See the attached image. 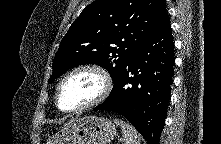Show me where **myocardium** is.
Wrapping results in <instances>:
<instances>
[{"mask_svg": "<svg viewBox=\"0 0 221 144\" xmlns=\"http://www.w3.org/2000/svg\"><path fill=\"white\" fill-rule=\"evenodd\" d=\"M84 71H89L97 74L99 78L101 79V90L99 94L90 102L83 104L79 107L72 108V109H64L60 106V93L63 85L65 82L71 78L73 75L79 73V72H84ZM112 89V79L110 74L107 72L106 69L103 67L97 65V64H84L81 66H78L71 70L69 73H67L62 80L59 82L57 89H56V94H55V103L57 108L65 113H76L80 111H84L86 109L92 108L100 103H102L110 94Z\"/></svg>", "mask_w": 221, "mask_h": 144, "instance_id": "1", "label": "myocardium"}]
</instances>
